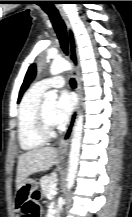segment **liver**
Masks as SVG:
<instances>
[{"mask_svg":"<svg viewBox=\"0 0 132 217\" xmlns=\"http://www.w3.org/2000/svg\"><path fill=\"white\" fill-rule=\"evenodd\" d=\"M58 150L53 147L36 148L18 157L16 188L19 190L33 173L49 170L55 163Z\"/></svg>","mask_w":132,"mask_h":217,"instance_id":"1","label":"liver"}]
</instances>
